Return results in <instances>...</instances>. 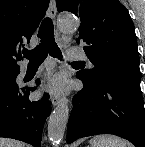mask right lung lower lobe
Returning a JSON list of instances; mask_svg holds the SVG:
<instances>
[{
  "instance_id": "right-lung-lower-lobe-1",
  "label": "right lung lower lobe",
  "mask_w": 145,
  "mask_h": 147,
  "mask_svg": "<svg viewBox=\"0 0 145 147\" xmlns=\"http://www.w3.org/2000/svg\"><path fill=\"white\" fill-rule=\"evenodd\" d=\"M20 71L15 72L16 77ZM15 77V78H16ZM38 79L36 83H39ZM35 88L0 83V137L13 138L40 147L46 118L50 114L49 96L39 101L28 99Z\"/></svg>"
}]
</instances>
